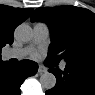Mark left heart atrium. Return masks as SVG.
<instances>
[{
  "label": "left heart atrium",
  "mask_w": 95,
  "mask_h": 95,
  "mask_svg": "<svg viewBox=\"0 0 95 95\" xmlns=\"http://www.w3.org/2000/svg\"><path fill=\"white\" fill-rule=\"evenodd\" d=\"M32 57L36 58L37 57V53L36 52H32Z\"/></svg>",
  "instance_id": "1"
}]
</instances>
